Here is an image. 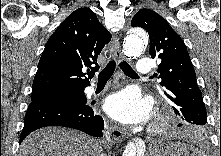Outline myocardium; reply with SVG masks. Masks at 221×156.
Returning <instances> with one entry per match:
<instances>
[{"label":"myocardium","instance_id":"1","mask_svg":"<svg viewBox=\"0 0 221 156\" xmlns=\"http://www.w3.org/2000/svg\"><path fill=\"white\" fill-rule=\"evenodd\" d=\"M169 127V118L166 115H159L156 121L154 122L151 133L152 134H162Z\"/></svg>","mask_w":221,"mask_h":156}]
</instances>
